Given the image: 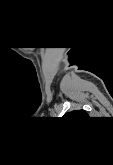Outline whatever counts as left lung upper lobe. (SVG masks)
<instances>
[{"instance_id":"1","label":"left lung upper lobe","mask_w":113,"mask_h":165,"mask_svg":"<svg viewBox=\"0 0 113 165\" xmlns=\"http://www.w3.org/2000/svg\"><path fill=\"white\" fill-rule=\"evenodd\" d=\"M81 114L87 115L84 110L73 111V112H70V113L65 114V115H70V116H77V115H79V116H81Z\"/></svg>"}]
</instances>
